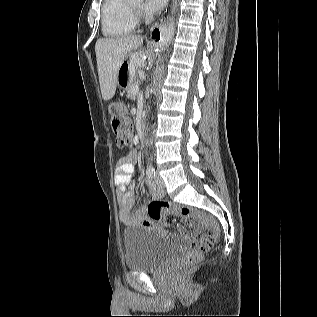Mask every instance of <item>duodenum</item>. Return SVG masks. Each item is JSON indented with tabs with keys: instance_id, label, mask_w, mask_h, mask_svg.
Listing matches in <instances>:
<instances>
[{
	"instance_id": "duodenum-1",
	"label": "duodenum",
	"mask_w": 317,
	"mask_h": 317,
	"mask_svg": "<svg viewBox=\"0 0 317 317\" xmlns=\"http://www.w3.org/2000/svg\"><path fill=\"white\" fill-rule=\"evenodd\" d=\"M138 137L139 138H144L145 137V132L142 131V129H141V131L138 132Z\"/></svg>"
}]
</instances>
